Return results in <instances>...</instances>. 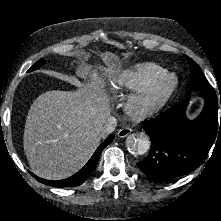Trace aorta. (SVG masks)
Wrapping results in <instances>:
<instances>
[{
  "label": "aorta",
  "instance_id": "762f6f07",
  "mask_svg": "<svg viewBox=\"0 0 221 221\" xmlns=\"http://www.w3.org/2000/svg\"><path fill=\"white\" fill-rule=\"evenodd\" d=\"M126 147L132 154L143 155L150 148V139L143 132L133 133L127 137Z\"/></svg>",
  "mask_w": 221,
  "mask_h": 221
}]
</instances>
